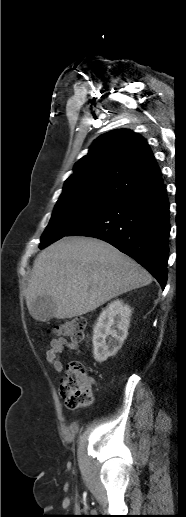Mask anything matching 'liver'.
I'll return each instance as SVG.
<instances>
[{"label": "liver", "instance_id": "1", "mask_svg": "<svg viewBox=\"0 0 186 517\" xmlns=\"http://www.w3.org/2000/svg\"><path fill=\"white\" fill-rule=\"evenodd\" d=\"M152 282L150 273L114 246L96 238L66 237L34 260L26 303L50 297L52 317L73 318Z\"/></svg>", "mask_w": 186, "mask_h": 517}]
</instances>
